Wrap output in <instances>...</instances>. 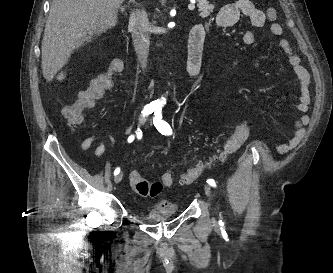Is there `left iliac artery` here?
I'll list each match as a JSON object with an SVG mask.
<instances>
[{
  "instance_id": "44dca946",
  "label": "left iliac artery",
  "mask_w": 333,
  "mask_h": 273,
  "mask_svg": "<svg viewBox=\"0 0 333 273\" xmlns=\"http://www.w3.org/2000/svg\"><path fill=\"white\" fill-rule=\"evenodd\" d=\"M153 124L161 134L163 135L172 134V129L170 125L166 121L162 120V112L161 109L159 108L156 109L154 112ZM207 183L212 187H216V183L213 179H208ZM219 223H223L222 220H220Z\"/></svg>"
}]
</instances>
